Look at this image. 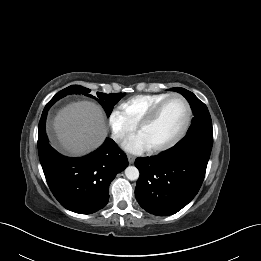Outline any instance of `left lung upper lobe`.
I'll list each match as a JSON object with an SVG mask.
<instances>
[{
	"label": "left lung upper lobe",
	"mask_w": 261,
	"mask_h": 261,
	"mask_svg": "<svg viewBox=\"0 0 261 261\" xmlns=\"http://www.w3.org/2000/svg\"><path fill=\"white\" fill-rule=\"evenodd\" d=\"M169 90L181 93L190 103L194 117L187 135L197 133L213 135L211 116L206 105L201 102L192 92L184 88L175 87Z\"/></svg>",
	"instance_id": "obj_1"
}]
</instances>
